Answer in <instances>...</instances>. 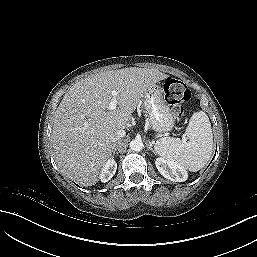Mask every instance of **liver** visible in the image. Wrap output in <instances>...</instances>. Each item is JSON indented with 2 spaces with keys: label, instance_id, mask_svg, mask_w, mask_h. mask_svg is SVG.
Segmentation results:
<instances>
[{
  "label": "liver",
  "instance_id": "obj_1",
  "mask_svg": "<svg viewBox=\"0 0 257 257\" xmlns=\"http://www.w3.org/2000/svg\"><path fill=\"white\" fill-rule=\"evenodd\" d=\"M167 77L157 69L129 67L74 84L56 110L51 135L61 172L83 186L96 184L112 159V135L128 126L147 89ZM112 91L118 92L115 110H109Z\"/></svg>",
  "mask_w": 257,
  "mask_h": 257
}]
</instances>
